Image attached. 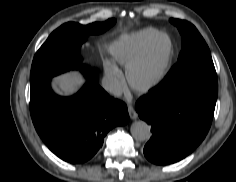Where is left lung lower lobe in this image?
Here are the masks:
<instances>
[{"instance_id":"0a47b994","label":"left lung lower lobe","mask_w":236,"mask_h":182,"mask_svg":"<svg viewBox=\"0 0 236 182\" xmlns=\"http://www.w3.org/2000/svg\"><path fill=\"white\" fill-rule=\"evenodd\" d=\"M216 100L197 92L167 95L156 89L137 101L136 111L152 132L144 147L145 157L154 164L168 165L193 152L209 131Z\"/></svg>"}]
</instances>
